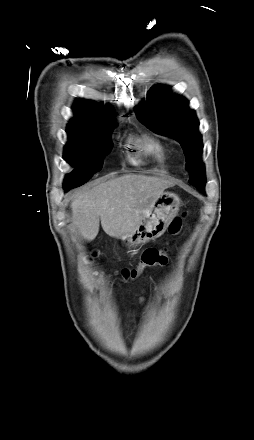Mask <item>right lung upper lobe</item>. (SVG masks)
<instances>
[{
  "label": "right lung upper lobe",
  "instance_id": "obj_1",
  "mask_svg": "<svg viewBox=\"0 0 254 440\" xmlns=\"http://www.w3.org/2000/svg\"><path fill=\"white\" fill-rule=\"evenodd\" d=\"M73 110L76 117L70 121L68 126L104 129L112 125L111 110L108 107L78 99Z\"/></svg>",
  "mask_w": 254,
  "mask_h": 440
}]
</instances>
